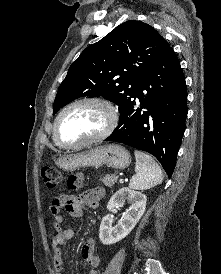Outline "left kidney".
<instances>
[{"label": "left kidney", "mask_w": 221, "mask_h": 274, "mask_svg": "<svg viewBox=\"0 0 221 274\" xmlns=\"http://www.w3.org/2000/svg\"><path fill=\"white\" fill-rule=\"evenodd\" d=\"M126 200L131 206L126 209L116 226L112 227L113 219L109 214L103 217L99 230V239L102 244H114L125 238L143 216L146 209V195L127 187L119 189L111 197L107 204V209L112 212L124 205Z\"/></svg>", "instance_id": "left-kidney-1"}]
</instances>
